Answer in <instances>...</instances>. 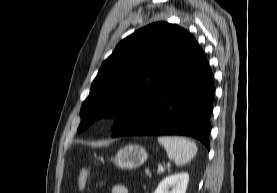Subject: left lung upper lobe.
I'll list each match as a JSON object with an SVG mask.
<instances>
[{"label": "left lung upper lobe", "mask_w": 277, "mask_h": 193, "mask_svg": "<svg viewBox=\"0 0 277 193\" xmlns=\"http://www.w3.org/2000/svg\"><path fill=\"white\" fill-rule=\"evenodd\" d=\"M197 42L166 22L150 24L121 41L105 60L83 102L78 132L94 119L116 115L120 128L188 59Z\"/></svg>", "instance_id": "left-lung-upper-lobe-1"}]
</instances>
